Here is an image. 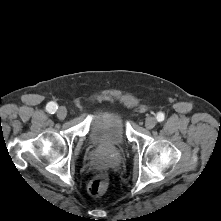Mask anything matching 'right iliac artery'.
Wrapping results in <instances>:
<instances>
[{
	"label": "right iliac artery",
	"instance_id": "82829eb1",
	"mask_svg": "<svg viewBox=\"0 0 221 221\" xmlns=\"http://www.w3.org/2000/svg\"><path fill=\"white\" fill-rule=\"evenodd\" d=\"M58 106L54 102H50L47 104L46 109L49 113L54 114L57 110Z\"/></svg>",
	"mask_w": 221,
	"mask_h": 221
}]
</instances>
